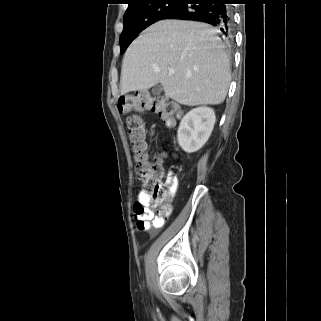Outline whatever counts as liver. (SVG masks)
<instances>
[{"mask_svg":"<svg viewBox=\"0 0 321 321\" xmlns=\"http://www.w3.org/2000/svg\"><path fill=\"white\" fill-rule=\"evenodd\" d=\"M217 30L204 23L161 20L128 47L121 94L161 84L165 95L187 106L218 105L231 80L229 59ZM174 70L170 75L169 71Z\"/></svg>","mask_w":321,"mask_h":321,"instance_id":"liver-1","label":"liver"}]
</instances>
